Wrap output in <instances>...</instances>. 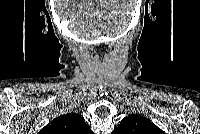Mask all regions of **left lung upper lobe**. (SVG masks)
<instances>
[{"instance_id": "left-lung-upper-lobe-1", "label": "left lung upper lobe", "mask_w": 200, "mask_h": 134, "mask_svg": "<svg viewBox=\"0 0 200 134\" xmlns=\"http://www.w3.org/2000/svg\"><path fill=\"white\" fill-rule=\"evenodd\" d=\"M112 134H162V131L143 116L129 115L122 119Z\"/></svg>"}]
</instances>
